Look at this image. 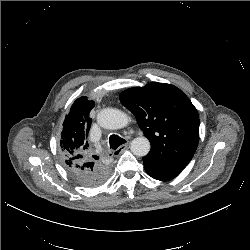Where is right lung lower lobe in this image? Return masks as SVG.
<instances>
[{
  "mask_svg": "<svg viewBox=\"0 0 250 250\" xmlns=\"http://www.w3.org/2000/svg\"><path fill=\"white\" fill-rule=\"evenodd\" d=\"M67 170L79 184L85 187H94L101 185L107 180L110 174L106 171L89 172L86 170L77 171L69 168H67Z\"/></svg>",
  "mask_w": 250,
  "mask_h": 250,
  "instance_id": "1",
  "label": "right lung lower lobe"
}]
</instances>
